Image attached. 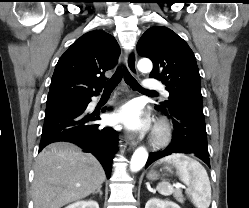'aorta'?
Listing matches in <instances>:
<instances>
[{
	"label": "aorta",
	"mask_w": 249,
	"mask_h": 208,
	"mask_svg": "<svg viewBox=\"0 0 249 208\" xmlns=\"http://www.w3.org/2000/svg\"><path fill=\"white\" fill-rule=\"evenodd\" d=\"M138 69L141 72L147 73L152 70V62L149 59H141L138 62ZM148 159V152L144 147H139L135 150L130 161V170L137 172L141 170Z\"/></svg>",
	"instance_id": "obj_1"
}]
</instances>
